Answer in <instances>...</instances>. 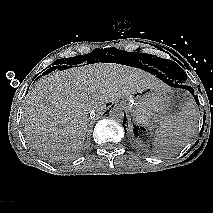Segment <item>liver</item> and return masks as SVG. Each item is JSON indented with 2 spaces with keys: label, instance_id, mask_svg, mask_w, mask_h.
<instances>
[{
  "label": "liver",
  "instance_id": "liver-1",
  "mask_svg": "<svg viewBox=\"0 0 213 213\" xmlns=\"http://www.w3.org/2000/svg\"><path fill=\"white\" fill-rule=\"evenodd\" d=\"M163 85L152 74L115 63L58 70L37 80L23 103L26 140L38 153L66 159L83 146L90 112Z\"/></svg>",
  "mask_w": 213,
  "mask_h": 213
}]
</instances>
